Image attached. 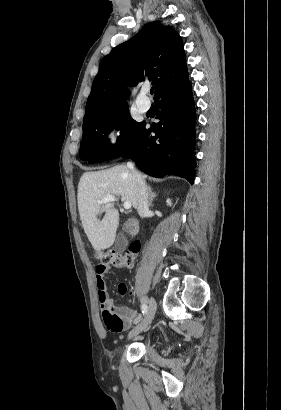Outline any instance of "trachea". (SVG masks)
Instances as JSON below:
<instances>
[{"mask_svg":"<svg viewBox=\"0 0 281 410\" xmlns=\"http://www.w3.org/2000/svg\"><path fill=\"white\" fill-rule=\"evenodd\" d=\"M150 93H151V94L154 93V88H153V87L150 89Z\"/></svg>","mask_w":281,"mask_h":410,"instance_id":"obj_1","label":"trachea"}]
</instances>
